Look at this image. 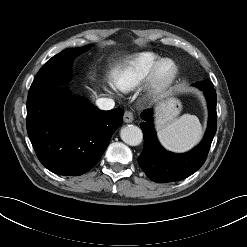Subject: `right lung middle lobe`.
<instances>
[{
  "label": "right lung middle lobe",
  "instance_id": "1",
  "mask_svg": "<svg viewBox=\"0 0 247 247\" xmlns=\"http://www.w3.org/2000/svg\"><path fill=\"white\" fill-rule=\"evenodd\" d=\"M88 49V45L81 48H70L53 56L39 70L31 86L45 88L50 84H64L71 76L70 69L73 59Z\"/></svg>",
  "mask_w": 247,
  "mask_h": 247
}]
</instances>
